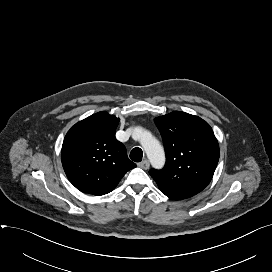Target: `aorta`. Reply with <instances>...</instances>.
Masks as SVG:
<instances>
[{"label": "aorta", "mask_w": 272, "mask_h": 272, "mask_svg": "<svg viewBox=\"0 0 272 272\" xmlns=\"http://www.w3.org/2000/svg\"><path fill=\"white\" fill-rule=\"evenodd\" d=\"M134 135L139 136L140 143L152 166L161 168L165 163V153L160 142L150 132L141 128H136Z\"/></svg>", "instance_id": "obj_1"}]
</instances>
